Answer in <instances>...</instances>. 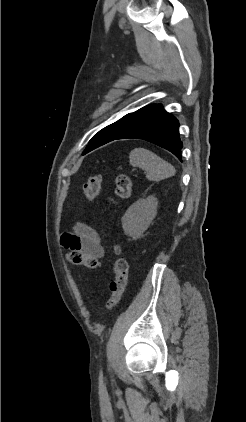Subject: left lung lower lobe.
Segmentation results:
<instances>
[{
	"mask_svg": "<svg viewBox=\"0 0 246 422\" xmlns=\"http://www.w3.org/2000/svg\"><path fill=\"white\" fill-rule=\"evenodd\" d=\"M130 138L143 139L154 143L170 151L182 161L181 149L183 145L179 138L178 120L166 112L161 104L155 105L148 113L114 140Z\"/></svg>",
	"mask_w": 246,
	"mask_h": 422,
	"instance_id": "left-lung-lower-lobe-1",
	"label": "left lung lower lobe"
}]
</instances>
